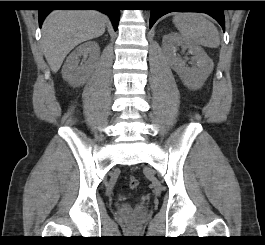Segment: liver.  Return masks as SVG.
Here are the masks:
<instances>
[{"label":"liver","instance_id":"1","mask_svg":"<svg viewBox=\"0 0 265 245\" xmlns=\"http://www.w3.org/2000/svg\"><path fill=\"white\" fill-rule=\"evenodd\" d=\"M105 23L104 16L93 10H57L49 14L42 26V47L51 70L56 73L77 45L103 35Z\"/></svg>","mask_w":265,"mask_h":245}]
</instances>
